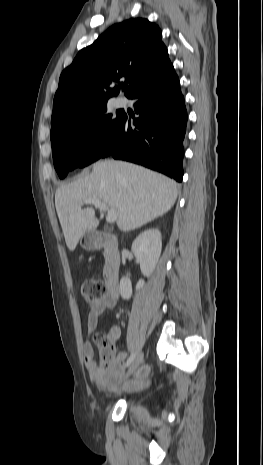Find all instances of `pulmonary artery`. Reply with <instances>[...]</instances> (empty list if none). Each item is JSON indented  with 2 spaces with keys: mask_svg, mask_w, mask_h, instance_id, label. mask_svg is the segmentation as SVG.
<instances>
[{
  "mask_svg": "<svg viewBox=\"0 0 263 465\" xmlns=\"http://www.w3.org/2000/svg\"><path fill=\"white\" fill-rule=\"evenodd\" d=\"M115 105H116L117 107H123V106L125 105L124 99H122V98H117V99L115 100Z\"/></svg>",
  "mask_w": 263,
  "mask_h": 465,
  "instance_id": "obj_1",
  "label": "pulmonary artery"
}]
</instances>
